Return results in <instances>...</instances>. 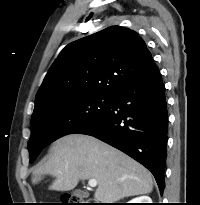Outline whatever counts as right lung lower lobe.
<instances>
[{
    "label": "right lung lower lobe",
    "instance_id": "1",
    "mask_svg": "<svg viewBox=\"0 0 200 205\" xmlns=\"http://www.w3.org/2000/svg\"><path fill=\"white\" fill-rule=\"evenodd\" d=\"M168 112L165 86L156 65L123 87L108 112L78 131L123 151L144 165L165 188Z\"/></svg>",
    "mask_w": 200,
    "mask_h": 205
}]
</instances>
